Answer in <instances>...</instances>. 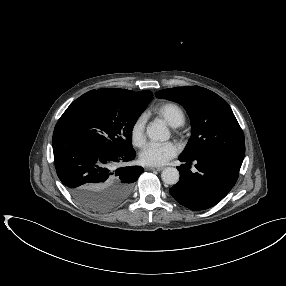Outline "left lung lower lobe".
I'll list each match as a JSON object with an SVG mask.
<instances>
[{
  "label": "left lung lower lobe",
  "mask_w": 286,
  "mask_h": 286,
  "mask_svg": "<svg viewBox=\"0 0 286 286\" xmlns=\"http://www.w3.org/2000/svg\"><path fill=\"white\" fill-rule=\"evenodd\" d=\"M177 167L180 179L169 189L172 197L191 210H204L220 202L235 185L243 159L221 153H207L187 159ZM196 162L197 172L192 173L190 164Z\"/></svg>",
  "instance_id": "obj_1"
}]
</instances>
